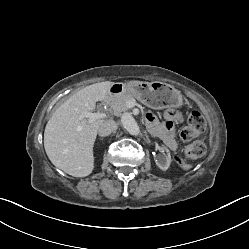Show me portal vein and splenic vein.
Segmentation results:
<instances>
[{"label": "portal vein and splenic vein", "instance_id": "18ae733b", "mask_svg": "<svg viewBox=\"0 0 249 249\" xmlns=\"http://www.w3.org/2000/svg\"><path fill=\"white\" fill-rule=\"evenodd\" d=\"M81 117L88 118L89 122H93L94 120H97V119L106 118L107 115H106V113H102V112H96V113L83 112L82 115H81Z\"/></svg>", "mask_w": 249, "mask_h": 249}]
</instances>
